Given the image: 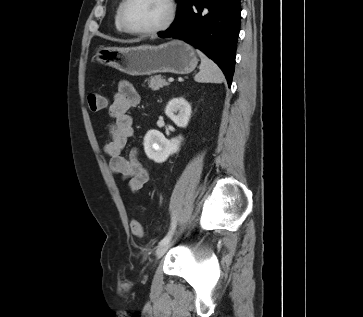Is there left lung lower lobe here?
Listing matches in <instances>:
<instances>
[{"instance_id":"1","label":"left lung lower lobe","mask_w":363,"mask_h":317,"mask_svg":"<svg viewBox=\"0 0 363 317\" xmlns=\"http://www.w3.org/2000/svg\"><path fill=\"white\" fill-rule=\"evenodd\" d=\"M176 19L159 37L180 38L202 50L231 86L240 30V0H177Z\"/></svg>"}]
</instances>
